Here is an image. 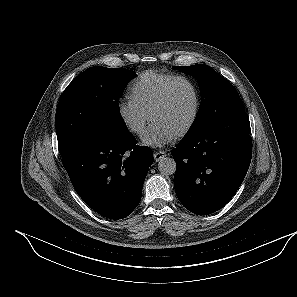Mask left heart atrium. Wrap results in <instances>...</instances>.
<instances>
[{
  "mask_svg": "<svg viewBox=\"0 0 297 297\" xmlns=\"http://www.w3.org/2000/svg\"><path fill=\"white\" fill-rule=\"evenodd\" d=\"M175 135L160 123L152 122L145 134L142 141L145 145L150 147H162L169 144Z\"/></svg>",
  "mask_w": 297,
  "mask_h": 297,
  "instance_id": "obj_1",
  "label": "left heart atrium"
}]
</instances>
